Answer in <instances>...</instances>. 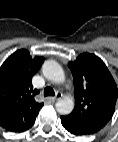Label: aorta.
Instances as JSON below:
<instances>
[{"label": "aorta", "mask_w": 118, "mask_h": 142, "mask_svg": "<svg viewBox=\"0 0 118 142\" xmlns=\"http://www.w3.org/2000/svg\"><path fill=\"white\" fill-rule=\"evenodd\" d=\"M42 72L48 80L54 83L61 84L65 81L64 71L56 61L49 60L44 62ZM55 107L59 114L67 115L74 109V101L69 97H65L58 100Z\"/></svg>", "instance_id": "obj_1"}]
</instances>
